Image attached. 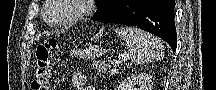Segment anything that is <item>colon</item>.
I'll return each mask as SVG.
<instances>
[{
  "instance_id": "colon-1",
  "label": "colon",
  "mask_w": 216,
  "mask_h": 90,
  "mask_svg": "<svg viewBox=\"0 0 216 90\" xmlns=\"http://www.w3.org/2000/svg\"><path fill=\"white\" fill-rule=\"evenodd\" d=\"M56 48V41H49L37 47L36 71L31 83L33 90H47L51 76L52 55Z\"/></svg>"
}]
</instances>
